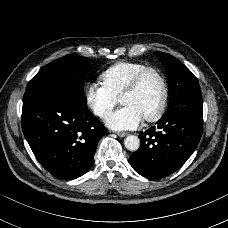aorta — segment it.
I'll use <instances>...</instances> for the list:
<instances>
[{
	"instance_id": "762f6f07",
	"label": "aorta",
	"mask_w": 228,
	"mask_h": 228,
	"mask_svg": "<svg viewBox=\"0 0 228 228\" xmlns=\"http://www.w3.org/2000/svg\"><path fill=\"white\" fill-rule=\"evenodd\" d=\"M124 145L129 151H137L140 147V139L134 135L127 136L124 140Z\"/></svg>"
}]
</instances>
